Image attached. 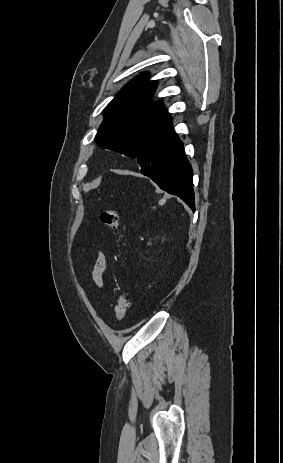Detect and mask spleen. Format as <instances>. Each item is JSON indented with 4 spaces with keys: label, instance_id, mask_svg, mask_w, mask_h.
I'll return each mask as SVG.
<instances>
[{
    "label": "spleen",
    "instance_id": "1",
    "mask_svg": "<svg viewBox=\"0 0 283 463\" xmlns=\"http://www.w3.org/2000/svg\"><path fill=\"white\" fill-rule=\"evenodd\" d=\"M164 202H165V199H162V200H161V203H164Z\"/></svg>",
    "mask_w": 283,
    "mask_h": 463
}]
</instances>
